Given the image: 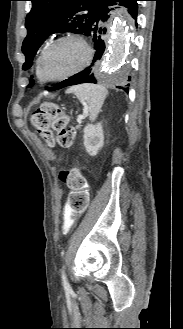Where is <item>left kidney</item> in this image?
<instances>
[{"label":"left kidney","instance_id":"obj_1","mask_svg":"<svg viewBox=\"0 0 183 329\" xmlns=\"http://www.w3.org/2000/svg\"><path fill=\"white\" fill-rule=\"evenodd\" d=\"M84 146L88 154L95 156L104 145V134L101 123L88 124L84 128Z\"/></svg>","mask_w":183,"mask_h":329}]
</instances>
